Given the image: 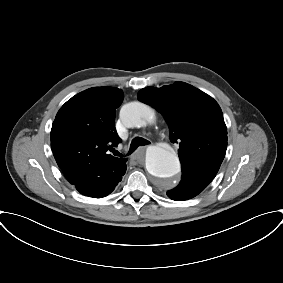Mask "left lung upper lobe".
<instances>
[{"mask_svg": "<svg viewBox=\"0 0 283 283\" xmlns=\"http://www.w3.org/2000/svg\"><path fill=\"white\" fill-rule=\"evenodd\" d=\"M138 99L167 121L170 140L179 144L182 175L210 183L227 149V128L217 102L184 82L146 87L139 91Z\"/></svg>", "mask_w": 283, "mask_h": 283, "instance_id": "5c2ea615", "label": "left lung upper lobe"}]
</instances>
